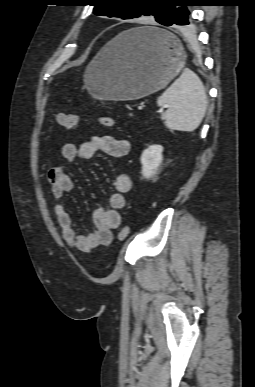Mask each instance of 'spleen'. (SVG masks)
I'll list each match as a JSON object with an SVG mask.
<instances>
[{
    "instance_id": "1",
    "label": "spleen",
    "mask_w": 255,
    "mask_h": 387,
    "mask_svg": "<svg viewBox=\"0 0 255 387\" xmlns=\"http://www.w3.org/2000/svg\"><path fill=\"white\" fill-rule=\"evenodd\" d=\"M207 103L202 81L189 69H184L157 99L158 106H169L162 116L166 127L186 132L198 128L205 116Z\"/></svg>"
}]
</instances>
